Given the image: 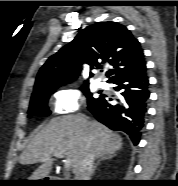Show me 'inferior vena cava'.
<instances>
[{"label":"inferior vena cava","mask_w":178,"mask_h":186,"mask_svg":"<svg viewBox=\"0 0 178 186\" xmlns=\"http://www.w3.org/2000/svg\"><path fill=\"white\" fill-rule=\"evenodd\" d=\"M95 154L93 151H88L84 157L79 171L76 173V180H90L93 171V162Z\"/></svg>","instance_id":"obj_1"}]
</instances>
